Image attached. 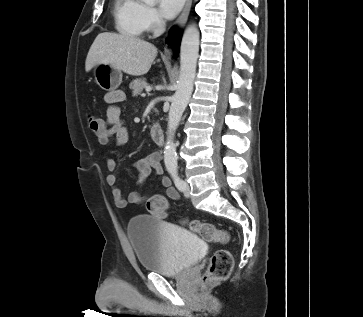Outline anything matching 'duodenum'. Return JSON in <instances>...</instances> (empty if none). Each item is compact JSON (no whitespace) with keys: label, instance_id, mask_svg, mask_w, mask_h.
<instances>
[{"label":"duodenum","instance_id":"1","mask_svg":"<svg viewBox=\"0 0 363 317\" xmlns=\"http://www.w3.org/2000/svg\"><path fill=\"white\" fill-rule=\"evenodd\" d=\"M150 135L153 141L157 144L162 146L164 144V131L162 127L158 124H154L150 128Z\"/></svg>","mask_w":363,"mask_h":317}]
</instances>
